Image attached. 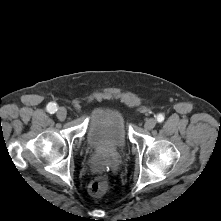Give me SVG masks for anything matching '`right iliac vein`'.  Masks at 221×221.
Instances as JSON below:
<instances>
[{
  "label": "right iliac vein",
  "mask_w": 221,
  "mask_h": 221,
  "mask_svg": "<svg viewBox=\"0 0 221 221\" xmlns=\"http://www.w3.org/2000/svg\"><path fill=\"white\" fill-rule=\"evenodd\" d=\"M67 111L65 108H59L57 111V117L59 120L63 121L66 119Z\"/></svg>",
  "instance_id": "63e3f726"
}]
</instances>
